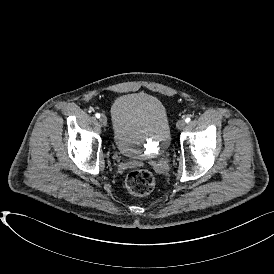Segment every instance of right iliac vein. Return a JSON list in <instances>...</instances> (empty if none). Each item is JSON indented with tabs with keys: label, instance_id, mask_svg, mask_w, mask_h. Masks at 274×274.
<instances>
[{
	"label": "right iliac vein",
	"instance_id": "63e3f726",
	"mask_svg": "<svg viewBox=\"0 0 274 274\" xmlns=\"http://www.w3.org/2000/svg\"><path fill=\"white\" fill-rule=\"evenodd\" d=\"M99 122L102 126H106L107 125V118L106 116L102 115L100 118H99Z\"/></svg>",
	"mask_w": 274,
	"mask_h": 274
}]
</instances>
